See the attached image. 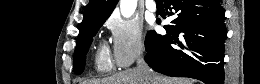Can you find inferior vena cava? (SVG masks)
Returning a JSON list of instances; mask_svg holds the SVG:
<instances>
[{
	"instance_id": "inferior-vena-cava-1",
	"label": "inferior vena cava",
	"mask_w": 260,
	"mask_h": 84,
	"mask_svg": "<svg viewBox=\"0 0 260 84\" xmlns=\"http://www.w3.org/2000/svg\"><path fill=\"white\" fill-rule=\"evenodd\" d=\"M137 69L143 73H145L149 78V72L151 71L148 64L145 62L144 60V54H141L138 58V61H137Z\"/></svg>"
}]
</instances>
